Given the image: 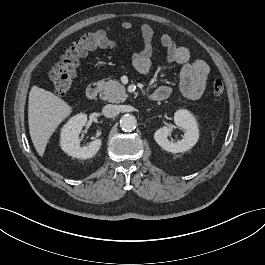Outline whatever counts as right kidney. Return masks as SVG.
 Returning a JSON list of instances; mask_svg holds the SVG:
<instances>
[{
  "instance_id": "1",
  "label": "right kidney",
  "mask_w": 265,
  "mask_h": 265,
  "mask_svg": "<svg viewBox=\"0 0 265 265\" xmlns=\"http://www.w3.org/2000/svg\"><path fill=\"white\" fill-rule=\"evenodd\" d=\"M86 122V114H77L62 128L60 146L65 153L72 157L88 159L93 157L100 149L101 139L93 140L87 147H80L78 136Z\"/></svg>"
}]
</instances>
